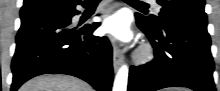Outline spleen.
Returning a JSON list of instances; mask_svg holds the SVG:
<instances>
[{
    "label": "spleen",
    "instance_id": "3e777b00",
    "mask_svg": "<svg viewBox=\"0 0 220 91\" xmlns=\"http://www.w3.org/2000/svg\"><path fill=\"white\" fill-rule=\"evenodd\" d=\"M172 91H175V90H172ZM176 91H183V90H176Z\"/></svg>",
    "mask_w": 220,
    "mask_h": 91
}]
</instances>
